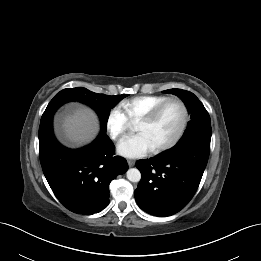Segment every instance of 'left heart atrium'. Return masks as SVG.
Returning a JSON list of instances; mask_svg holds the SVG:
<instances>
[{"label":"left heart atrium","instance_id":"obj_1","mask_svg":"<svg viewBox=\"0 0 261 261\" xmlns=\"http://www.w3.org/2000/svg\"><path fill=\"white\" fill-rule=\"evenodd\" d=\"M151 150V145L142 133L124 136L117 144L118 153L128 158L142 157Z\"/></svg>","mask_w":261,"mask_h":261}]
</instances>
